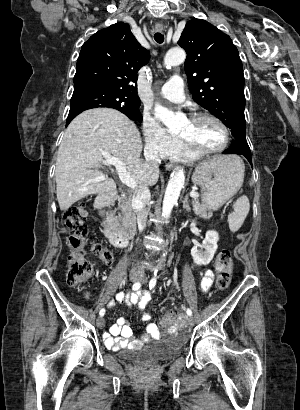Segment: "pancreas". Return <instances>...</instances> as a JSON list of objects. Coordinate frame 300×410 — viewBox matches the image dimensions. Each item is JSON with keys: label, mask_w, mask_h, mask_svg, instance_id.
<instances>
[{"label": "pancreas", "mask_w": 300, "mask_h": 410, "mask_svg": "<svg viewBox=\"0 0 300 410\" xmlns=\"http://www.w3.org/2000/svg\"><path fill=\"white\" fill-rule=\"evenodd\" d=\"M193 209L196 215L209 219L212 217L211 212H207L205 204H201L198 199L192 201ZM119 209L121 214L118 216V230L125 235H129L130 229L134 227L136 217L131 208V202L129 199H123L120 201Z\"/></svg>", "instance_id": "obj_1"}]
</instances>
